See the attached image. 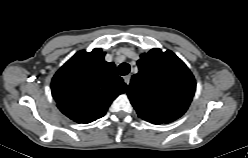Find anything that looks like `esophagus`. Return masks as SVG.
I'll return each instance as SVG.
<instances>
[{"instance_id":"esophagus-1","label":"esophagus","mask_w":248,"mask_h":158,"mask_svg":"<svg viewBox=\"0 0 248 158\" xmlns=\"http://www.w3.org/2000/svg\"><path fill=\"white\" fill-rule=\"evenodd\" d=\"M123 79H124V82L126 83V85L130 84V79H131L130 75L124 76Z\"/></svg>"}]
</instances>
